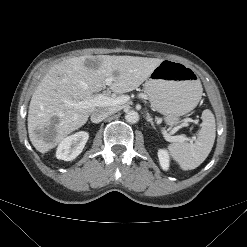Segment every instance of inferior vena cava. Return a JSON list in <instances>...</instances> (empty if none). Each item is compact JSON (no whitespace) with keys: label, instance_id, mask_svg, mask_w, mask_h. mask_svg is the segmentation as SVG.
Masks as SVG:
<instances>
[{"label":"inferior vena cava","instance_id":"obj_1","mask_svg":"<svg viewBox=\"0 0 247 247\" xmlns=\"http://www.w3.org/2000/svg\"><path fill=\"white\" fill-rule=\"evenodd\" d=\"M116 112V109L114 108H108V109H96L91 114V121L93 123H99L103 121L105 118H107L109 115H112Z\"/></svg>","mask_w":247,"mask_h":247}]
</instances>
